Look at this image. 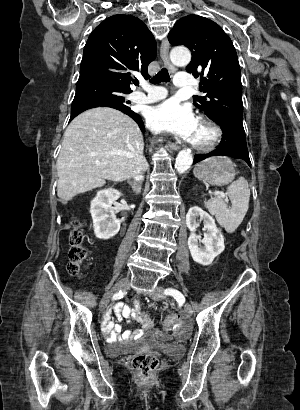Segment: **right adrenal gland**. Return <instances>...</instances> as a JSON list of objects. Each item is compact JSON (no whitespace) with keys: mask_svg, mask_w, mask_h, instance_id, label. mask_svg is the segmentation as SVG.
Here are the masks:
<instances>
[{"mask_svg":"<svg viewBox=\"0 0 300 410\" xmlns=\"http://www.w3.org/2000/svg\"><path fill=\"white\" fill-rule=\"evenodd\" d=\"M129 185L131 186L133 192L135 194H140L141 192V184H135L131 180H128Z\"/></svg>","mask_w":300,"mask_h":410,"instance_id":"right-adrenal-gland-1","label":"right adrenal gland"}]
</instances>
